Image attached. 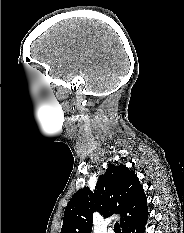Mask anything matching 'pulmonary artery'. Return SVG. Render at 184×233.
<instances>
[{"label": "pulmonary artery", "instance_id": "pulmonary-artery-1", "mask_svg": "<svg viewBox=\"0 0 184 233\" xmlns=\"http://www.w3.org/2000/svg\"><path fill=\"white\" fill-rule=\"evenodd\" d=\"M108 233H114V231H113L112 229H110V230L108 231Z\"/></svg>", "mask_w": 184, "mask_h": 233}]
</instances>
